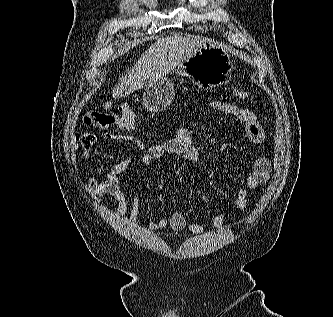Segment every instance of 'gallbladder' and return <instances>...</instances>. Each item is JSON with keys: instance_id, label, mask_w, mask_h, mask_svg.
Returning a JSON list of instances; mask_svg holds the SVG:
<instances>
[{"instance_id": "gallbladder-1", "label": "gallbladder", "mask_w": 333, "mask_h": 317, "mask_svg": "<svg viewBox=\"0 0 333 317\" xmlns=\"http://www.w3.org/2000/svg\"><path fill=\"white\" fill-rule=\"evenodd\" d=\"M111 104H112L111 102L106 103V104H105V108H106V109H107V108H110V107H111Z\"/></svg>"}]
</instances>
